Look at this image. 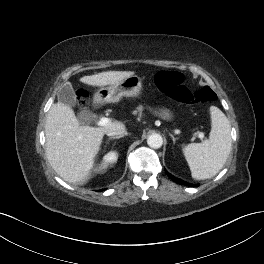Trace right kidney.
Returning <instances> with one entry per match:
<instances>
[{"label": "right kidney", "mask_w": 264, "mask_h": 264, "mask_svg": "<svg viewBox=\"0 0 264 264\" xmlns=\"http://www.w3.org/2000/svg\"><path fill=\"white\" fill-rule=\"evenodd\" d=\"M117 153L116 152H110L104 157V163H103V168L107 167L109 163H113L117 160Z\"/></svg>", "instance_id": "right-kidney-1"}]
</instances>
